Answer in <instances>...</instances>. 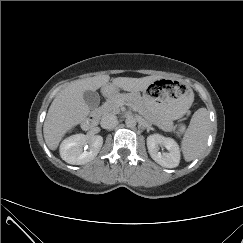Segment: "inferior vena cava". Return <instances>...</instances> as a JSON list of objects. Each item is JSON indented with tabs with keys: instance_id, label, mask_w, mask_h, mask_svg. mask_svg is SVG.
<instances>
[{
	"instance_id": "1",
	"label": "inferior vena cava",
	"mask_w": 243,
	"mask_h": 243,
	"mask_svg": "<svg viewBox=\"0 0 243 243\" xmlns=\"http://www.w3.org/2000/svg\"><path fill=\"white\" fill-rule=\"evenodd\" d=\"M118 123L117 116L114 114H106L101 119V127L104 129H110Z\"/></svg>"
}]
</instances>
